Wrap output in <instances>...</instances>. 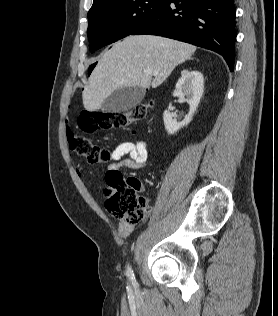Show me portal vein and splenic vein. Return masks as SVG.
<instances>
[{
	"instance_id": "1",
	"label": "portal vein and splenic vein",
	"mask_w": 278,
	"mask_h": 316,
	"mask_svg": "<svg viewBox=\"0 0 278 316\" xmlns=\"http://www.w3.org/2000/svg\"><path fill=\"white\" fill-rule=\"evenodd\" d=\"M146 73L149 74V75H156L157 74L156 72H153L151 70H148Z\"/></svg>"
}]
</instances>
